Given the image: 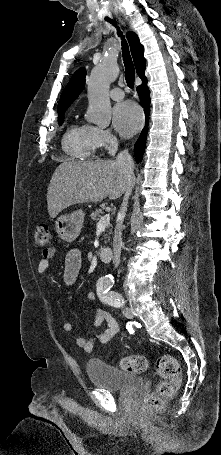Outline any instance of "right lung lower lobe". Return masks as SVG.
<instances>
[{
	"label": "right lung lower lobe",
	"instance_id": "right-lung-lower-lobe-1",
	"mask_svg": "<svg viewBox=\"0 0 221 455\" xmlns=\"http://www.w3.org/2000/svg\"><path fill=\"white\" fill-rule=\"evenodd\" d=\"M141 79L143 82L140 86L137 87V91H138V94L140 97V102H141L142 106L144 107L145 116H146V124H145V127L142 130L137 142L134 145V152H135V158H136L137 163H139L143 158L144 149H145V145H146V138H147L148 118H149V113H150V109H149L150 97H149V90L147 87V79L145 76H143Z\"/></svg>",
	"mask_w": 221,
	"mask_h": 455
}]
</instances>
